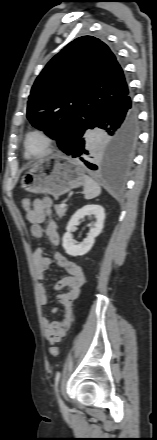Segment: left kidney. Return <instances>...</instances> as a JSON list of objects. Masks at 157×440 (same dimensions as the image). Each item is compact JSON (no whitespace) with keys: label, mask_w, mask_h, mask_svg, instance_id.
Instances as JSON below:
<instances>
[{"label":"left kidney","mask_w":157,"mask_h":440,"mask_svg":"<svg viewBox=\"0 0 157 440\" xmlns=\"http://www.w3.org/2000/svg\"><path fill=\"white\" fill-rule=\"evenodd\" d=\"M85 216H94L95 224L90 228L88 236L80 244H76L71 231L79 225L80 220ZM105 219L104 208L100 205H86L79 209L70 219L66 227V233L63 235L62 246L66 253L71 256H82L89 252L94 245L95 238L101 233Z\"/></svg>","instance_id":"obj_1"}]
</instances>
